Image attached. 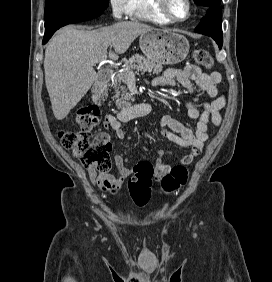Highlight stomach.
<instances>
[{
	"instance_id": "stomach-1",
	"label": "stomach",
	"mask_w": 272,
	"mask_h": 282,
	"mask_svg": "<svg viewBox=\"0 0 272 282\" xmlns=\"http://www.w3.org/2000/svg\"><path fill=\"white\" fill-rule=\"evenodd\" d=\"M139 46L148 59L164 65L182 62L190 49L189 41L184 35L156 28L141 34Z\"/></svg>"
}]
</instances>
